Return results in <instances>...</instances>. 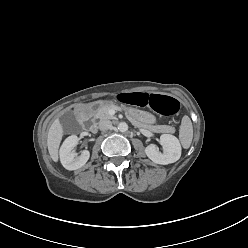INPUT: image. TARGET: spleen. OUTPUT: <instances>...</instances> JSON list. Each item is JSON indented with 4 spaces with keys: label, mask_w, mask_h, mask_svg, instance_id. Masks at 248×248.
<instances>
[{
    "label": "spleen",
    "mask_w": 248,
    "mask_h": 248,
    "mask_svg": "<svg viewBox=\"0 0 248 248\" xmlns=\"http://www.w3.org/2000/svg\"><path fill=\"white\" fill-rule=\"evenodd\" d=\"M193 139V126L190 118L184 116L181 121L179 140L183 148L188 149Z\"/></svg>",
    "instance_id": "3e777b00"
}]
</instances>
